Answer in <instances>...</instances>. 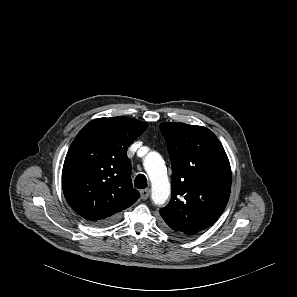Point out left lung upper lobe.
I'll return each mask as SVG.
<instances>
[{"label":"left lung upper lobe","instance_id":"1","mask_svg":"<svg viewBox=\"0 0 297 297\" xmlns=\"http://www.w3.org/2000/svg\"><path fill=\"white\" fill-rule=\"evenodd\" d=\"M172 164V198L160 210L162 225L181 237L210 227L230 196L231 168L225 150L209 129L161 123Z\"/></svg>","mask_w":297,"mask_h":297}]
</instances>
